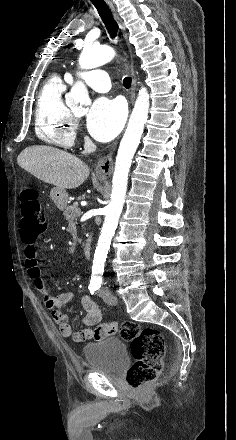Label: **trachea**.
<instances>
[{"mask_svg":"<svg viewBox=\"0 0 236 440\" xmlns=\"http://www.w3.org/2000/svg\"><path fill=\"white\" fill-rule=\"evenodd\" d=\"M95 8L97 9L103 23L105 24L110 36L115 38L118 31V24L113 18L108 6L106 3H93ZM132 83L131 77H125L123 80V85L125 88H130Z\"/></svg>","mask_w":236,"mask_h":440,"instance_id":"trachea-1","label":"trachea"}]
</instances>
